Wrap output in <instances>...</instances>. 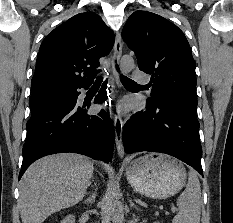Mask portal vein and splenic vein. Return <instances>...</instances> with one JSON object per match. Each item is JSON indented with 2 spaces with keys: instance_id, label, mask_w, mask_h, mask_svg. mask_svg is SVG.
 <instances>
[{
  "instance_id": "18ae733b",
  "label": "portal vein and splenic vein",
  "mask_w": 233,
  "mask_h": 223,
  "mask_svg": "<svg viewBox=\"0 0 233 223\" xmlns=\"http://www.w3.org/2000/svg\"><path fill=\"white\" fill-rule=\"evenodd\" d=\"M172 211H175V209H177V207H171Z\"/></svg>"
}]
</instances>
